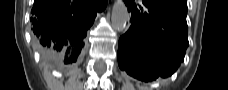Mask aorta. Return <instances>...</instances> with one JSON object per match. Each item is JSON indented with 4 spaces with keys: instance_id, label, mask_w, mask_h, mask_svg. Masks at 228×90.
I'll use <instances>...</instances> for the list:
<instances>
[{
    "instance_id": "1",
    "label": "aorta",
    "mask_w": 228,
    "mask_h": 90,
    "mask_svg": "<svg viewBox=\"0 0 228 90\" xmlns=\"http://www.w3.org/2000/svg\"><path fill=\"white\" fill-rule=\"evenodd\" d=\"M130 20L128 9L123 0H116L112 9V27L117 31H123Z\"/></svg>"
}]
</instances>
